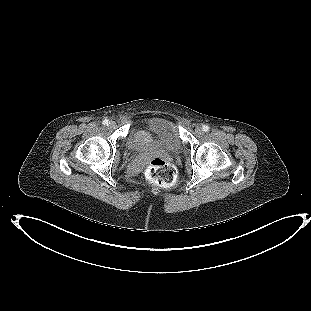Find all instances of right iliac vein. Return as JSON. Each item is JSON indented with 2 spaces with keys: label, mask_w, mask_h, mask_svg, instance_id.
Wrapping results in <instances>:
<instances>
[{
  "label": "right iliac vein",
  "mask_w": 311,
  "mask_h": 311,
  "mask_svg": "<svg viewBox=\"0 0 311 311\" xmlns=\"http://www.w3.org/2000/svg\"><path fill=\"white\" fill-rule=\"evenodd\" d=\"M109 128L115 129L116 128V122L115 121L109 122Z\"/></svg>",
  "instance_id": "right-iliac-vein-1"
}]
</instances>
